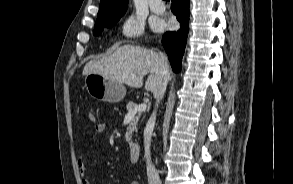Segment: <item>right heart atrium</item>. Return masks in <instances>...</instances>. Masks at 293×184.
Returning a JSON list of instances; mask_svg holds the SVG:
<instances>
[{
  "mask_svg": "<svg viewBox=\"0 0 293 184\" xmlns=\"http://www.w3.org/2000/svg\"><path fill=\"white\" fill-rule=\"evenodd\" d=\"M119 33L124 40L141 39L144 36V23L129 15L120 23Z\"/></svg>",
  "mask_w": 293,
  "mask_h": 184,
  "instance_id": "right-heart-atrium-1",
  "label": "right heart atrium"
}]
</instances>
